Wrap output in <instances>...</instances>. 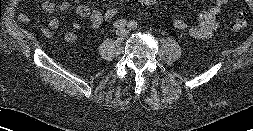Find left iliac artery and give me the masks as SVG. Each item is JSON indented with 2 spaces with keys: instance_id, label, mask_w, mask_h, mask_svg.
<instances>
[{
  "instance_id": "44dca946",
  "label": "left iliac artery",
  "mask_w": 253,
  "mask_h": 131,
  "mask_svg": "<svg viewBox=\"0 0 253 131\" xmlns=\"http://www.w3.org/2000/svg\"><path fill=\"white\" fill-rule=\"evenodd\" d=\"M128 28H129L130 30H135V29L137 28V23H136L135 21H130V22L128 23Z\"/></svg>"
}]
</instances>
